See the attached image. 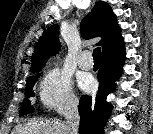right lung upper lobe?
<instances>
[{"label":"right lung upper lobe","instance_id":"cb5924a9","mask_svg":"<svg viewBox=\"0 0 153 134\" xmlns=\"http://www.w3.org/2000/svg\"><path fill=\"white\" fill-rule=\"evenodd\" d=\"M81 34L85 39L102 37L98 45L102 46V53L108 51L121 42V29L117 23V18L112 12L109 4L99 1L81 22ZM60 48L59 26H50L39 41L36 43L35 51L32 56L31 71L39 72L45 65L48 57L56 53Z\"/></svg>","mask_w":153,"mask_h":134}]
</instances>
